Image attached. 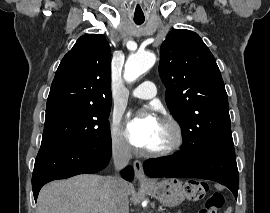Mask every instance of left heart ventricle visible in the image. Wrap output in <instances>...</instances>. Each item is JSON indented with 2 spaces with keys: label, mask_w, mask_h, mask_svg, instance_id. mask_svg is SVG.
<instances>
[{
  "label": "left heart ventricle",
  "mask_w": 270,
  "mask_h": 213,
  "mask_svg": "<svg viewBox=\"0 0 270 213\" xmlns=\"http://www.w3.org/2000/svg\"><path fill=\"white\" fill-rule=\"evenodd\" d=\"M172 138L170 128L159 121L156 132L148 146V150L159 149L167 145Z\"/></svg>",
  "instance_id": "1"
}]
</instances>
